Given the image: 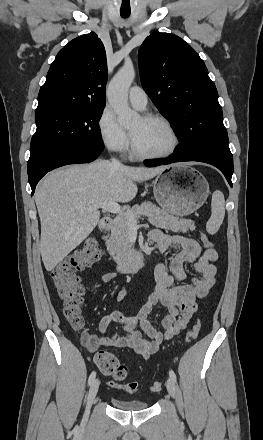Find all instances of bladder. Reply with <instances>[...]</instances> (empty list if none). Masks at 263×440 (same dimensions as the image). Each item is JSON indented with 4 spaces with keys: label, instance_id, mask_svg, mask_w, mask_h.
I'll use <instances>...</instances> for the list:
<instances>
[{
    "label": "bladder",
    "instance_id": "obj_1",
    "mask_svg": "<svg viewBox=\"0 0 263 440\" xmlns=\"http://www.w3.org/2000/svg\"><path fill=\"white\" fill-rule=\"evenodd\" d=\"M115 408L126 411H140L148 408V404L145 401L139 399H123L119 397H113L111 399Z\"/></svg>",
    "mask_w": 263,
    "mask_h": 440
}]
</instances>
